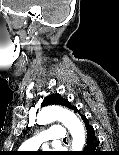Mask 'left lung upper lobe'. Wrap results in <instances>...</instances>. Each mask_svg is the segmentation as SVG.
Here are the masks:
<instances>
[{"mask_svg":"<svg viewBox=\"0 0 119 155\" xmlns=\"http://www.w3.org/2000/svg\"><path fill=\"white\" fill-rule=\"evenodd\" d=\"M47 105H62L68 107L69 109L74 108V106H71L70 102L67 99L62 98L58 93L51 94L44 99L42 106Z\"/></svg>","mask_w":119,"mask_h":155,"instance_id":"left-lung-upper-lobe-1","label":"left lung upper lobe"}]
</instances>
